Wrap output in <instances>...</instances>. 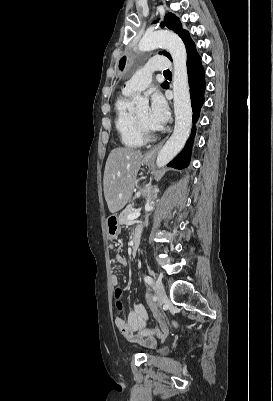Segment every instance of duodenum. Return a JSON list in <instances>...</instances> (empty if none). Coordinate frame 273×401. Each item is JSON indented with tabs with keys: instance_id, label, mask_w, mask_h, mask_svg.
<instances>
[{
	"instance_id": "obj_1",
	"label": "duodenum",
	"mask_w": 273,
	"mask_h": 401,
	"mask_svg": "<svg viewBox=\"0 0 273 401\" xmlns=\"http://www.w3.org/2000/svg\"><path fill=\"white\" fill-rule=\"evenodd\" d=\"M140 245V234L136 233L132 241V255H136Z\"/></svg>"
}]
</instances>
